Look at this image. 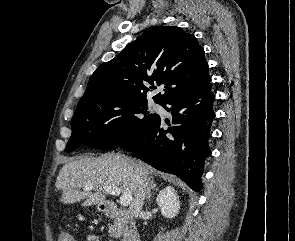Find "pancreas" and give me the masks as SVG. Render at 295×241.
<instances>
[{
    "label": "pancreas",
    "instance_id": "pancreas-1",
    "mask_svg": "<svg viewBox=\"0 0 295 241\" xmlns=\"http://www.w3.org/2000/svg\"><path fill=\"white\" fill-rule=\"evenodd\" d=\"M128 231L127 220L125 218H118L114 220L113 224L109 225V233L116 238L125 235Z\"/></svg>",
    "mask_w": 295,
    "mask_h": 241
}]
</instances>
